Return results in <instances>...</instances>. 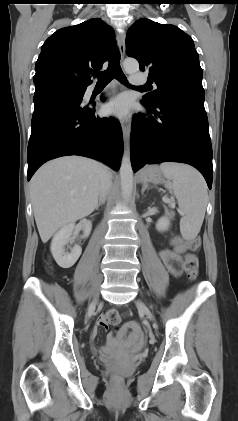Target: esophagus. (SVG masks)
I'll return each instance as SVG.
<instances>
[{"instance_id": "esophagus-1", "label": "esophagus", "mask_w": 238, "mask_h": 421, "mask_svg": "<svg viewBox=\"0 0 238 421\" xmlns=\"http://www.w3.org/2000/svg\"><path fill=\"white\" fill-rule=\"evenodd\" d=\"M125 33L122 31L117 32L116 38L118 42V49L121 55V58L124 57L125 54ZM122 132L124 138V145L125 148L128 150L129 148V140H130V126L127 123H122Z\"/></svg>"}]
</instances>
